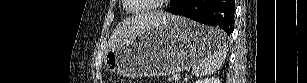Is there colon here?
<instances>
[{
  "instance_id": "1",
  "label": "colon",
  "mask_w": 307,
  "mask_h": 83,
  "mask_svg": "<svg viewBox=\"0 0 307 83\" xmlns=\"http://www.w3.org/2000/svg\"><path fill=\"white\" fill-rule=\"evenodd\" d=\"M127 81H125V80H123V79H118L117 81H116V83H126Z\"/></svg>"
}]
</instances>
